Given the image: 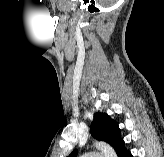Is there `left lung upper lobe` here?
Returning a JSON list of instances; mask_svg holds the SVG:
<instances>
[{"mask_svg": "<svg viewBox=\"0 0 164 157\" xmlns=\"http://www.w3.org/2000/svg\"><path fill=\"white\" fill-rule=\"evenodd\" d=\"M90 132L97 140L106 141L113 147L122 140L118 124L105 113H95ZM77 154L78 150H74L67 157H77Z\"/></svg>", "mask_w": 164, "mask_h": 157, "instance_id": "1", "label": "left lung upper lobe"}]
</instances>
